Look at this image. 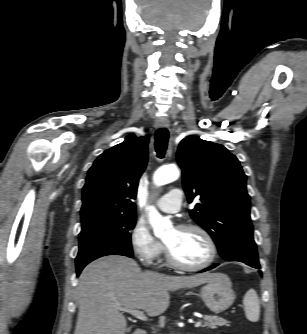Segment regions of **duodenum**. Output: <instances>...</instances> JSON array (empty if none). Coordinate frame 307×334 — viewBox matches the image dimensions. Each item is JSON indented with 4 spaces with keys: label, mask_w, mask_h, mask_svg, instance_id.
Listing matches in <instances>:
<instances>
[{
    "label": "duodenum",
    "mask_w": 307,
    "mask_h": 334,
    "mask_svg": "<svg viewBox=\"0 0 307 334\" xmlns=\"http://www.w3.org/2000/svg\"><path fill=\"white\" fill-rule=\"evenodd\" d=\"M132 334H146V331L144 329L138 328L134 330Z\"/></svg>",
    "instance_id": "obj_1"
}]
</instances>
